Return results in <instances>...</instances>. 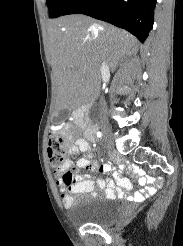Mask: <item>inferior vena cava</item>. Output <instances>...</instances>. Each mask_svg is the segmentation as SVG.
I'll return each instance as SVG.
<instances>
[{"mask_svg": "<svg viewBox=\"0 0 183 246\" xmlns=\"http://www.w3.org/2000/svg\"><path fill=\"white\" fill-rule=\"evenodd\" d=\"M101 74L103 75L104 73H108L109 71V67H108V63L104 60L101 64V68H100ZM100 105L102 107L106 106L105 100L103 97L100 98Z\"/></svg>", "mask_w": 183, "mask_h": 246, "instance_id": "1", "label": "inferior vena cava"}]
</instances>
